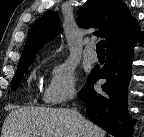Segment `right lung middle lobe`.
Masks as SVG:
<instances>
[{"mask_svg":"<svg viewBox=\"0 0 144 137\" xmlns=\"http://www.w3.org/2000/svg\"><path fill=\"white\" fill-rule=\"evenodd\" d=\"M32 61L33 60L18 66L16 74L14 75V77L12 79V82H11V85H12L13 89L16 88L17 84L22 79L24 72L28 69V67L32 63Z\"/></svg>","mask_w":144,"mask_h":137,"instance_id":"right-lung-middle-lobe-1","label":"right lung middle lobe"}]
</instances>
